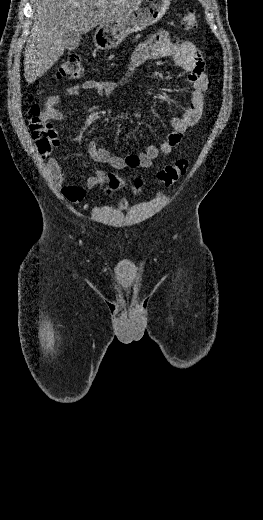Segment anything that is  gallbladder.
I'll list each match as a JSON object with an SVG mask.
<instances>
[{
  "label": "gallbladder",
  "mask_w": 263,
  "mask_h": 520,
  "mask_svg": "<svg viewBox=\"0 0 263 520\" xmlns=\"http://www.w3.org/2000/svg\"><path fill=\"white\" fill-rule=\"evenodd\" d=\"M81 36L79 34H64L63 41L65 48L68 50H75L79 47Z\"/></svg>",
  "instance_id": "gallbladder-1"
}]
</instances>
